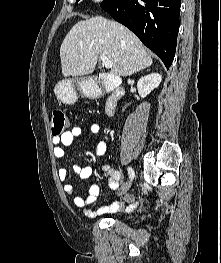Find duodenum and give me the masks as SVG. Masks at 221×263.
Instances as JSON below:
<instances>
[{"instance_id":"1","label":"duodenum","mask_w":221,"mask_h":263,"mask_svg":"<svg viewBox=\"0 0 221 263\" xmlns=\"http://www.w3.org/2000/svg\"><path fill=\"white\" fill-rule=\"evenodd\" d=\"M95 81L99 83L102 90L109 92L105 101V113L107 115L113 114L118 102L124 96L120 80L113 74L101 73L96 76Z\"/></svg>"}]
</instances>
